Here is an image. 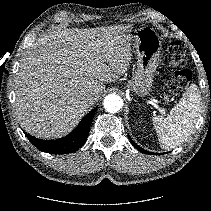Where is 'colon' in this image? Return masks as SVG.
I'll use <instances>...</instances> for the list:
<instances>
[{
  "label": "colon",
  "instance_id": "5ec220e1",
  "mask_svg": "<svg viewBox=\"0 0 211 211\" xmlns=\"http://www.w3.org/2000/svg\"><path fill=\"white\" fill-rule=\"evenodd\" d=\"M166 66L178 68L185 64L186 57L183 46L179 42H171L162 55ZM191 80V73L186 69H174L165 75V82L174 95L184 92Z\"/></svg>",
  "mask_w": 211,
  "mask_h": 211
}]
</instances>
